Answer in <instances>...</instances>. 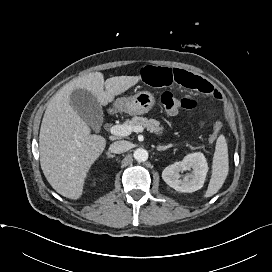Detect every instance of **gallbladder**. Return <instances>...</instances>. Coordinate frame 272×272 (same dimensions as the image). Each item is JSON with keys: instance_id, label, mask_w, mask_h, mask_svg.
I'll return each instance as SVG.
<instances>
[{"instance_id": "1", "label": "gallbladder", "mask_w": 272, "mask_h": 272, "mask_svg": "<svg viewBox=\"0 0 272 272\" xmlns=\"http://www.w3.org/2000/svg\"><path fill=\"white\" fill-rule=\"evenodd\" d=\"M70 105L92 128L99 129L103 111L95 96L86 89H75L70 95Z\"/></svg>"}]
</instances>
